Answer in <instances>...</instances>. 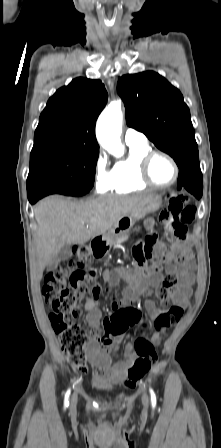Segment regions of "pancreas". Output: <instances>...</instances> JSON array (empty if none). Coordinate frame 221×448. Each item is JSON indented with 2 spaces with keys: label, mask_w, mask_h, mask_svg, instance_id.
<instances>
[{
  "label": "pancreas",
  "mask_w": 221,
  "mask_h": 448,
  "mask_svg": "<svg viewBox=\"0 0 221 448\" xmlns=\"http://www.w3.org/2000/svg\"><path fill=\"white\" fill-rule=\"evenodd\" d=\"M128 237H129V235H128V234H125V235H123L122 237L117 238L116 241H115V246L118 247V248L121 247V244H122L125 240H127Z\"/></svg>",
  "instance_id": "1"
}]
</instances>
